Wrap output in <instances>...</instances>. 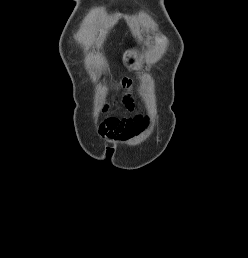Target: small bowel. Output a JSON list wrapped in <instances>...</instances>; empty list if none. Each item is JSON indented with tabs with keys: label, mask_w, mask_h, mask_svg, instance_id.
<instances>
[{
	"label": "small bowel",
	"mask_w": 248,
	"mask_h": 258,
	"mask_svg": "<svg viewBox=\"0 0 248 258\" xmlns=\"http://www.w3.org/2000/svg\"><path fill=\"white\" fill-rule=\"evenodd\" d=\"M120 85L122 86L123 89L126 90V94L123 98V104L128 109H132L134 107V103H133V98L130 94V84L127 80H122ZM115 119L119 121L117 124L115 125H111L110 123L107 124L108 136L114 140H119L127 136H130L144 129L148 124V119L143 117L142 115H137L134 118H126V119L115 118Z\"/></svg>",
	"instance_id": "small-bowel-1"
}]
</instances>
